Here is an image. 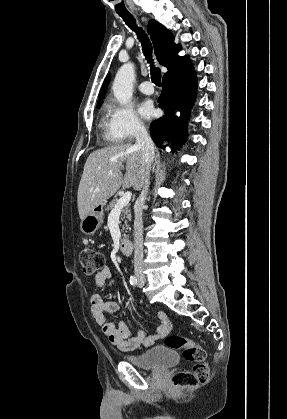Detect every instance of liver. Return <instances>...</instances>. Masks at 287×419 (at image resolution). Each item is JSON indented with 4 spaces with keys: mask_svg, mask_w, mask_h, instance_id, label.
<instances>
[{
    "mask_svg": "<svg viewBox=\"0 0 287 419\" xmlns=\"http://www.w3.org/2000/svg\"><path fill=\"white\" fill-rule=\"evenodd\" d=\"M124 162L126 173L123 176L121 167ZM109 171L113 174L109 175ZM144 178L142 151L136 145L117 144L93 151L85 162L78 188L77 205L80 219L95 207L104 205L121 186L140 190Z\"/></svg>",
    "mask_w": 287,
    "mask_h": 419,
    "instance_id": "liver-1",
    "label": "liver"
}]
</instances>
